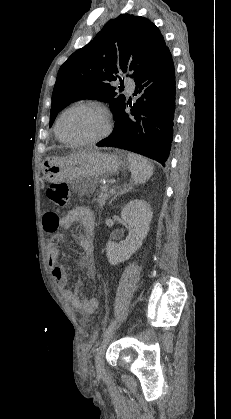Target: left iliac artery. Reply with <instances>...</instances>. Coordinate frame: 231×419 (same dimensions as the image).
<instances>
[{"label":"left iliac artery","mask_w":231,"mask_h":419,"mask_svg":"<svg viewBox=\"0 0 231 419\" xmlns=\"http://www.w3.org/2000/svg\"><path fill=\"white\" fill-rule=\"evenodd\" d=\"M116 323H117V321H113L109 326H108V328L106 329V331L104 332V335H103V337L105 338V337H107L112 331H113V329L115 328V326H116Z\"/></svg>","instance_id":"44dca946"}]
</instances>
